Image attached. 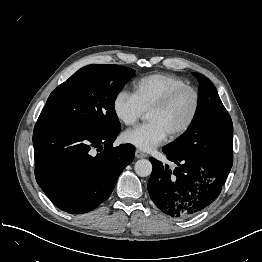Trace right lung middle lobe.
Here are the masks:
<instances>
[{"label": "right lung middle lobe", "mask_w": 262, "mask_h": 262, "mask_svg": "<svg viewBox=\"0 0 262 262\" xmlns=\"http://www.w3.org/2000/svg\"><path fill=\"white\" fill-rule=\"evenodd\" d=\"M134 75L133 69L119 65L83 67L52 91L39 117L70 121L101 133L120 130L115 100Z\"/></svg>", "instance_id": "right-lung-middle-lobe-1"}]
</instances>
